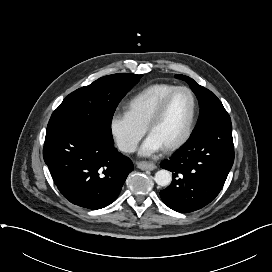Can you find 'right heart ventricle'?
I'll list each match as a JSON object with an SVG mask.
<instances>
[{
    "mask_svg": "<svg viewBox=\"0 0 272 272\" xmlns=\"http://www.w3.org/2000/svg\"><path fill=\"white\" fill-rule=\"evenodd\" d=\"M176 87L165 83L147 86L128 100L126 112L137 124L146 128L148 120L159 102Z\"/></svg>",
    "mask_w": 272,
    "mask_h": 272,
    "instance_id": "right-heart-ventricle-1",
    "label": "right heart ventricle"
}]
</instances>
